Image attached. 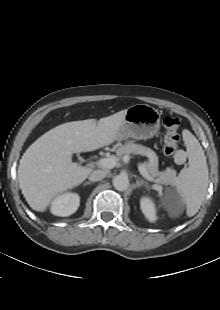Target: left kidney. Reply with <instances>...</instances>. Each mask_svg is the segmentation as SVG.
Segmentation results:
<instances>
[{
	"label": "left kidney",
	"mask_w": 220,
	"mask_h": 310,
	"mask_svg": "<svg viewBox=\"0 0 220 310\" xmlns=\"http://www.w3.org/2000/svg\"><path fill=\"white\" fill-rule=\"evenodd\" d=\"M140 206L143 214L150 222L156 220V210L150 198L143 197L140 201Z\"/></svg>",
	"instance_id": "left-kidney-1"
}]
</instances>
